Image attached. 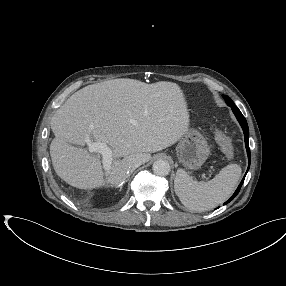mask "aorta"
Masks as SVG:
<instances>
[{
    "label": "aorta",
    "mask_w": 286,
    "mask_h": 286,
    "mask_svg": "<svg viewBox=\"0 0 286 286\" xmlns=\"http://www.w3.org/2000/svg\"><path fill=\"white\" fill-rule=\"evenodd\" d=\"M152 169L158 176H167L170 173V164L166 160L158 159L153 163Z\"/></svg>",
    "instance_id": "aorta-1"
}]
</instances>
